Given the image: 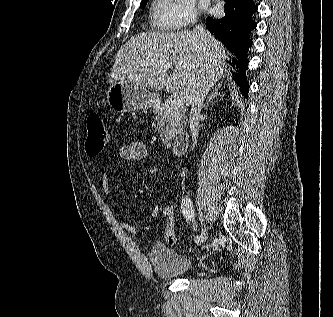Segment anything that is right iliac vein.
I'll list each match as a JSON object with an SVG mask.
<instances>
[{
	"instance_id": "right-iliac-vein-1",
	"label": "right iliac vein",
	"mask_w": 333,
	"mask_h": 317,
	"mask_svg": "<svg viewBox=\"0 0 333 317\" xmlns=\"http://www.w3.org/2000/svg\"><path fill=\"white\" fill-rule=\"evenodd\" d=\"M207 236H208V232H207V229L204 227L202 229V232H201L200 236H199L200 240L197 241V243H203L204 241H206Z\"/></svg>"
}]
</instances>
